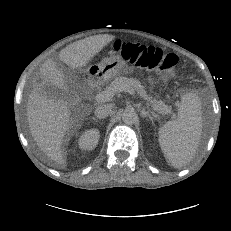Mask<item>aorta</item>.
Returning a JSON list of instances; mask_svg holds the SVG:
<instances>
[{"label": "aorta", "instance_id": "762f6f07", "mask_svg": "<svg viewBox=\"0 0 231 231\" xmlns=\"http://www.w3.org/2000/svg\"><path fill=\"white\" fill-rule=\"evenodd\" d=\"M137 119V114L133 108H126L122 113V120L126 124H133Z\"/></svg>", "mask_w": 231, "mask_h": 231}]
</instances>
